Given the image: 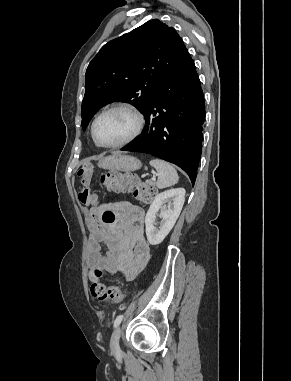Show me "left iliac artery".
Wrapping results in <instances>:
<instances>
[{
  "label": "left iliac artery",
  "mask_w": 291,
  "mask_h": 381,
  "mask_svg": "<svg viewBox=\"0 0 291 381\" xmlns=\"http://www.w3.org/2000/svg\"><path fill=\"white\" fill-rule=\"evenodd\" d=\"M122 319H123V315H122V314H121V315H118V316L116 317V319H115V321H114V327H115V328L121 323Z\"/></svg>",
  "instance_id": "obj_1"
}]
</instances>
